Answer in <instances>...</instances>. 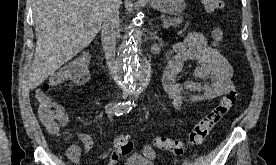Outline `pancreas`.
<instances>
[{
	"instance_id": "obj_1",
	"label": "pancreas",
	"mask_w": 276,
	"mask_h": 165,
	"mask_svg": "<svg viewBox=\"0 0 276 165\" xmlns=\"http://www.w3.org/2000/svg\"><path fill=\"white\" fill-rule=\"evenodd\" d=\"M170 25L177 27L180 23H182V18H175L170 20Z\"/></svg>"
}]
</instances>
